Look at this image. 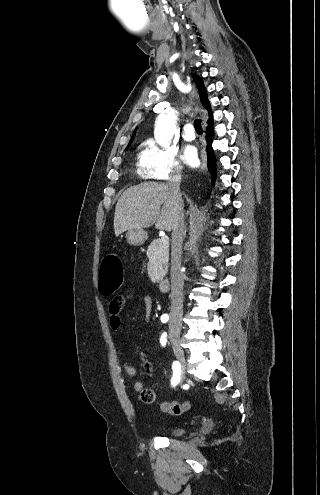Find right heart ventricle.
<instances>
[{"label":"right heart ventricle","instance_id":"obj_1","mask_svg":"<svg viewBox=\"0 0 320 495\" xmlns=\"http://www.w3.org/2000/svg\"><path fill=\"white\" fill-rule=\"evenodd\" d=\"M141 158H142V155H141V157H140V162H141ZM139 165H140V164H139Z\"/></svg>","mask_w":320,"mask_h":495}]
</instances>
